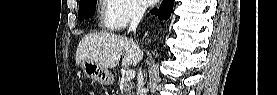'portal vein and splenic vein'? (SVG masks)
<instances>
[{
  "mask_svg": "<svg viewBox=\"0 0 277 95\" xmlns=\"http://www.w3.org/2000/svg\"><path fill=\"white\" fill-rule=\"evenodd\" d=\"M135 77V72L133 70H127L125 73V78L132 80Z\"/></svg>",
  "mask_w": 277,
  "mask_h": 95,
  "instance_id": "18ae733b",
  "label": "portal vein and splenic vein"
}]
</instances>
